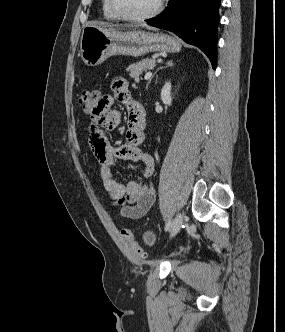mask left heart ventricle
Listing matches in <instances>:
<instances>
[{"mask_svg": "<svg viewBox=\"0 0 285 332\" xmlns=\"http://www.w3.org/2000/svg\"><path fill=\"white\" fill-rule=\"evenodd\" d=\"M159 0H115L121 12L129 16H141L155 9Z\"/></svg>", "mask_w": 285, "mask_h": 332, "instance_id": "left-heart-ventricle-1", "label": "left heart ventricle"}]
</instances>
